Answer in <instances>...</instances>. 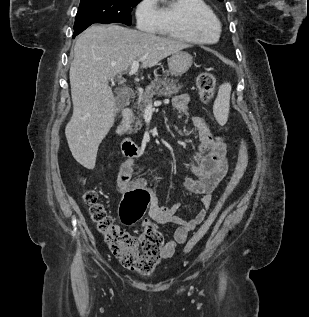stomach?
I'll list each match as a JSON object with an SVG mask.
<instances>
[{
	"instance_id": "obj_1",
	"label": "stomach",
	"mask_w": 309,
	"mask_h": 317,
	"mask_svg": "<svg viewBox=\"0 0 309 317\" xmlns=\"http://www.w3.org/2000/svg\"><path fill=\"white\" fill-rule=\"evenodd\" d=\"M193 63V57L185 51L173 53L168 59L169 72L175 76L186 73Z\"/></svg>"
}]
</instances>
